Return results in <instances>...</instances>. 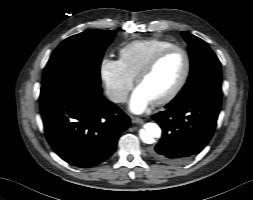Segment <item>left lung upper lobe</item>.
I'll return each mask as SVG.
<instances>
[{
    "label": "left lung upper lobe",
    "instance_id": "left-lung-upper-lobe-1",
    "mask_svg": "<svg viewBox=\"0 0 253 200\" xmlns=\"http://www.w3.org/2000/svg\"><path fill=\"white\" fill-rule=\"evenodd\" d=\"M189 46L191 69L188 81L175 101H186L203 91L221 92V64L202 39L188 33H182Z\"/></svg>",
    "mask_w": 253,
    "mask_h": 200
}]
</instances>
